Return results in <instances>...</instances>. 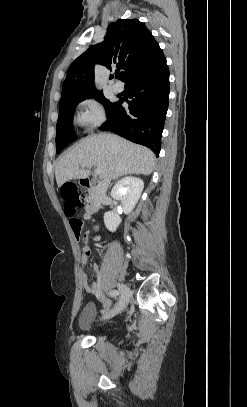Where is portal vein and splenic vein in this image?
Wrapping results in <instances>:
<instances>
[{"instance_id": "obj_1", "label": "portal vein and splenic vein", "mask_w": 247, "mask_h": 407, "mask_svg": "<svg viewBox=\"0 0 247 407\" xmlns=\"http://www.w3.org/2000/svg\"><path fill=\"white\" fill-rule=\"evenodd\" d=\"M84 166H85V165L83 164L82 167H84ZM100 172H101L100 169H96V170H95V175H99Z\"/></svg>"}]
</instances>
